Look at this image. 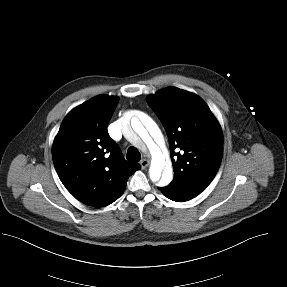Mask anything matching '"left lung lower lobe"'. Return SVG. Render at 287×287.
<instances>
[{
  "mask_svg": "<svg viewBox=\"0 0 287 287\" xmlns=\"http://www.w3.org/2000/svg\"><path fill=\"white\" fill-rule=\"evenodd\" d=\"M158 189L170 200L176 201V202H185L188 201L194 197L184 193L183 191L179 190L176 187H173L171 185L165 186V187H158Z\"/></svg>",
  "mask_w": 287,
  "mask_h": 287,
  "instance_id": "1",
  "label": "left lung lower lobe"
}]
</instances>
